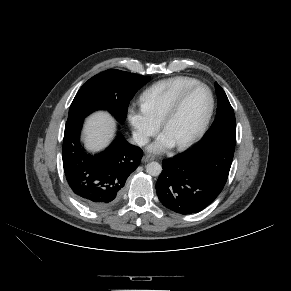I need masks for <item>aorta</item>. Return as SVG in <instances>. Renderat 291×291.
<instances>
[{"label":"aorta","mask_w":291,"mask_h":291,"mask_svg":"<svg viewBox=\"0 0 291 291\" xmlns=\"http://www.w3.org/2000/svg\"><path fill=\"white\" fill-rule=\"evenodd\" d=\"M162 171V166L158 162H150L146 165V172L151 176H158Z\"/></svg>","instance_id":"aorta-1"}]
</instances>
